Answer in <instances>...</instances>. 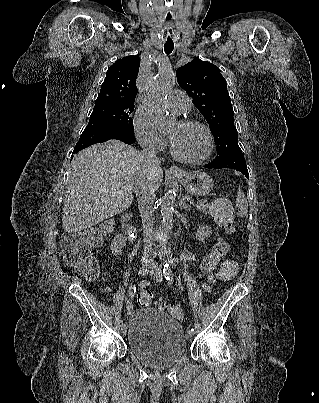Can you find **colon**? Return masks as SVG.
I'll use <instances>...</instances> for the list:
<instances>
[{
  "mask_svg": "<svg viewBox=\"0 0 319 403\" xmlns=\"http://www.w3.org/2000/svg\"><path fill=\"white\" fill-rule=\"evenodd\" d=\"M211 213L216 222L224 227L228 232H232L233 211L228 201L217 198L211 204ZM111 228L106 224L100 228H91L66 234L61 241V251L65 264L75 269V271L88 280H95L99 274V267L96 260L90 255V246H97L101 243L104 234ZM238 265L235 260L225 262L220 271L221 279L230 280L237 273ZM153 295L148 290H142L137 295V302L140 307H149L152 303ZM158 308L168 312L175 319L183 322L185 315L180 306L160 301Z\"/></svg>",
  "mask_w": 319,
  "mask_h": 403,
  "instance_id": "obj_1",
  "label": "colon"
}]
</instances>
